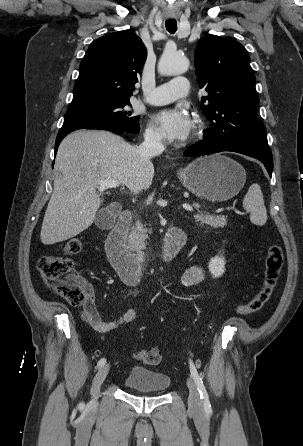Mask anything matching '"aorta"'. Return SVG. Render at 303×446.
<instances>
[{
  "mask_svg": "<svg viewBox=\"0 0 303 446\" xmlns=\"http://www.w3.org/2000/svg\"><path fill=\"white\" fill-rule=\"evenodd\" d=\"M189 62L184 56L164 52L158 63V72L161 75H179L188 70Z\"/></svg>",
  "mask_w": 303,
  "mask_h": 446,
  "instance_id": "762f6f07",
  "label": "aorta"
}]
</instances>
